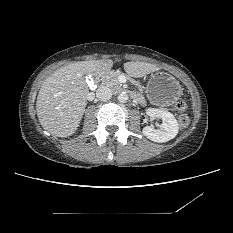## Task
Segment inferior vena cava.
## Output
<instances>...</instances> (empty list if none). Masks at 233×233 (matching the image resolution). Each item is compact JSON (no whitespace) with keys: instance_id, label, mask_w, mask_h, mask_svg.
Returning a JSON list of instances; mask_svg holds the SVG:
<instances>
[{"instance_id":"1","label":"inferior vena cava","mask_w":233,"mask_h":233,"mask_svg":"<svg viewBox=\"0 0 233 233\" xmlns=\"http://www.w3.org/2000/svg\"><path fill=\"white\" fill-rule=\"evenodd\" d=\"M96 97L101 101L109 100L112 97V90L108 86H101L96 91Z\"/></svg>"}]
</instances>
